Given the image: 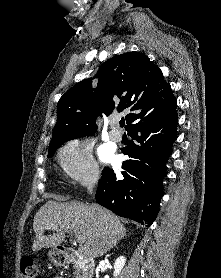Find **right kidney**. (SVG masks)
<instances>
[{
	"label": "right kidney",
	"instance_id": "right-kidney-1",
	"mask_svg": "<svg viewBox=\"0 0 221 278\" xmlns=\"http://www.w3.org/2000/svg\"><path fill=\"white\" fill-rule=\"evenodd\" d=\"M125 262H126V258L124 256H120L116 259L114 263V274H113L115 278L121 273V270L125 265Z\"/></svg>",
	"mask_w": 221,
	"mask_h": 278
}]
</instances>
